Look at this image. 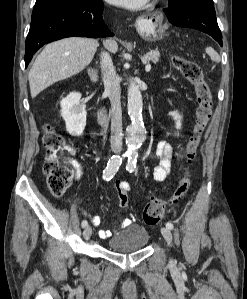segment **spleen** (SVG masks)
<instances>
[{"instance_id":"3e777b00","label":"spleen","mask_w":247,"mask_h":299,"mask_svg":"<svg viewBox=\"0 0 247 299\" xmlns=\"http://www.w3.org/2000/svg\"><path fill=\"white\" fill-rule=\"evenodd\" d=\"M205 52L210 56L212 61H215V62L220 61L219 54L212 47H206Z\"/></svg>"}]
</instances>
